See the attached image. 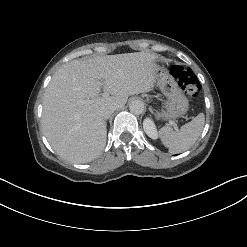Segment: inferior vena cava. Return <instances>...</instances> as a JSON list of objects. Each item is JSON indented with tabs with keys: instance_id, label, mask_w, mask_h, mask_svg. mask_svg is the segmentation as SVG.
I'll return each instance as SVG.
<instances>
[{
	"instance_id": "inferior-vena-cava-1",
	"label": "inferior vena cava",
	"mask_w": 247,
	"mask_h": 247,
	"mask_svg": "<svg viewBox=\"0 0 247 247\" xmlns=\"http://www.w3.org/2000/svg\"><path fill=\"white\" fill-rule=\"evenodd\" d=\"M117 109V106L115 105H107L104 106L101 111L100 114L104 119H107L110 117V115Z\"/></svg>"
}]
</instances>
